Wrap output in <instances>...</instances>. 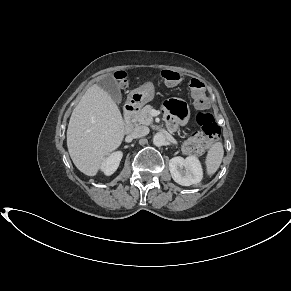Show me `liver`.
Here are the masks:
<instances>
[{
  "label": "liver",
  "instance_id": "obj_1",
  "mask_svg": "<svg viewBox=\"0 0 291 291\" xmlns=\"http://www.w3.org/2000/svg\"><path fill=\"white\" fill-rule=\"evenodd\" d=\"M124 135L125 122L115 101L97 84L89 87L67 129V147L75 166L85 175L95 176Z\"/></svg>",
  "mask_w": 291,
  "mask_h": 291
}]
</instances>
